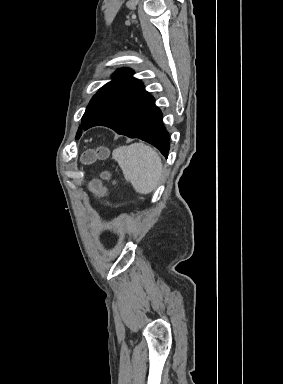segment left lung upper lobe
<instances>
[{
	"instance_id": "1",
	"label": "left lung upper lobe",
	"mask_w": 283,
	"mask_h": 384,
	"mask_svg": "<svg viewBox=\"0 0 283 384\" xmlns=\"http://www.w3.org/2000/svg\"><path fill=\"white\" fill-rule=\"evenodd\" d=\"M131 69H119L113 81L104 85L91 99L82 117V127H79L76 138H79L82 129L120 102L129 92L139 86L141 81L131 77Z\"/></svg>"
}]
</instances>
